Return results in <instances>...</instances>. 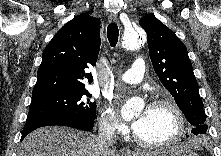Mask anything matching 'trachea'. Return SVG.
<instances>
[{
  "label": "trachea",
  "mask_w": 221,
  "mask_h": 156,
  "mask_svg": "<svg viewBox=\"0 0 221 156\" xmlns=\"http://www.w3.org/2000/svg\"><path fill=\"white\" fill-rule=\"evenodd\" d=\"M107 37L112 47H115L118 42L119 29L116 23H110L107 27Z\"/></svg>",
  "instance_id": "obj_1"
}]
</instances>
